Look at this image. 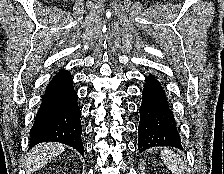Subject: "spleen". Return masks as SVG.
Wrapping results in <instances>:
<instances>
[{
    "label": "spleen",
    "instance_id": "spleen-1",
    "mask_svg": "<svg viewBox=\"0 0 224 174\" xmlns=\"http://www.w3.org/2000/svg\"><path fill=\"white\" fill-rule=\"evenodd\" d=\"M161 158L173 174H183L184 167L182 164V159L179 155L171 150H163L161 151Z\"/></svg>",
    "mask_w": 224,
    "mask_h": 174
}]
</instances>
